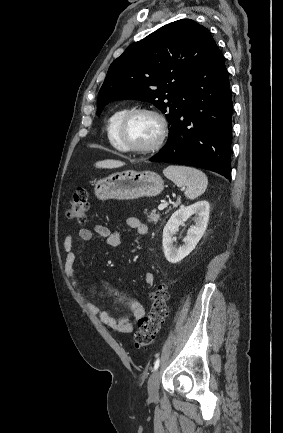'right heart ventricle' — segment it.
<instances>
[{"instance_id": "obj_1", "label": "right heart ventricle", "mask_w": 283, "mask_h": 433, "mask_svg": "<svg viewBox=\"0 0 283 433\" xmlns=\"http://www.w3.org/2000/svg\"><path fill=\"white\" fill-rule=\"evenodd\" d=\"M128 108H120L116 111H114L106 122V135L108 138V141L112 145L114 149L117 151L123 152L122 148L120 147L117 138H116V131L117 126L123 115L128 111Z\"/></svg>"}]
</instances>
